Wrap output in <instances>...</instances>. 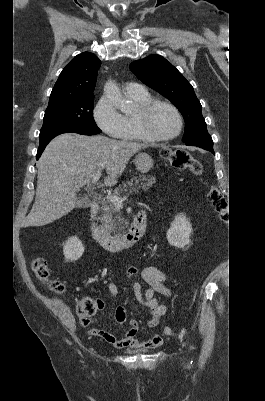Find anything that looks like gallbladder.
I'll use <instances>...</instances> for the list:
<instances>
[{
  "label": "gallbladder",
  "instance_id": "gallbladder-1",
  "mask_svg": "<svg viewBox=\"0 0 265 401\" xmlns=\"http://www.w3.org/2000/svg\"><path fill=\"white\" fill-rule=\"evenodd\" d=\"M89 205H91L90 198H86V196H79L77 205L79 209H86V207H89Z\"/></svg>",
  "mask_w": 265,
  "mask_h": 401
}]
</instances>
